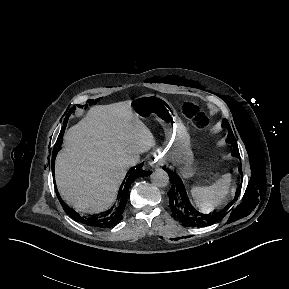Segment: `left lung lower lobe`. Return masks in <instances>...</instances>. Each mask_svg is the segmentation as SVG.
<instances>
[{
	"mask_svg": "<svg viewBox=\"0 0 289 289\" xmlns=\"http://www.w3.org/2000/svg\"><path fill=\"white\" fill-rule=\"evenodd\" d=\"M166 171L172 180V188L168 192V196L174 218H179V221L186 226L204 227L213 224L224 216V214L207 215L196 211L188 200L181 179L169 169H166ZM239 171L242 174L241 167L239 168Z\"/></svg>",
	"mask_w": 289,
	"mask_h": 289,
	"instance_id": "0a47b994",
	"label": "left lung lower lobe"
}]
</instances>
